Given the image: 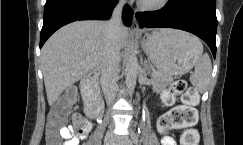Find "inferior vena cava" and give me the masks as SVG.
Returning a JSON list of instances; mask_svg holds the SVG:
<instances>
[{"mask_svg":"<svg viewBox=\"0 0 243 145\" xmlns=\"http://www.w3.org/2000/svg\"><path fill=\"white\" fill-rule=\"evenodd\" d=\"M123 4L124 1H120L114 9L111 19L106 23V42L100 65V83L108 105L113 103L117 94L116 82L120 61L119 32L122 26L121 11Z\"/></svg>","mask_w":243,"mask_h":145,"instance_id":"602c4592","label":"inferior vena cava"}]
</instances>
